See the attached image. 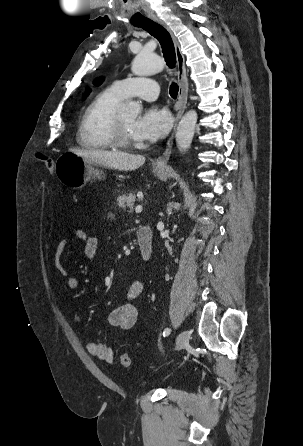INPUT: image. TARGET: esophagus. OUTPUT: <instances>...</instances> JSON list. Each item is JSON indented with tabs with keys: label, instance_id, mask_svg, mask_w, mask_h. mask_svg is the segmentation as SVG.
Returning a JSON list of instances; mask_svg holds the SVG:
<instances>
[{
	"label": "esophagus",
	"instance_id": "1",
	"mask_svg": "<svg viewBox=\"0 0 303 446\" xmlns=\"http://www.w3.org/2000/svg\"><path fill=\"white\" fill-rule=\"evenodd\" d=\"M154 22L164 27L170 34L172 41L174 43L176 58H177V78L179 83V94H178V112L175 118V124L171 136L169 137L166 148L164 152L155 160L154 165L157 167H166L168 160L171 155L174 133L177 126V123L181 116L183 115L188 98V81L186 75V66H185V57L181 50L180 43L169 26H167L162 20L159 18H153Z\"/></svg>",
	"mask_w": 303,
	"mask_h": 446
}]
</instances>
